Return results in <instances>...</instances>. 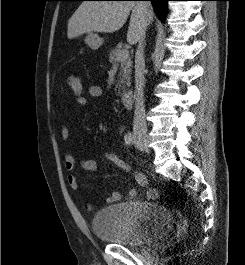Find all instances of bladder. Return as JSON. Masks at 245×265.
<instances>
[{
    "label": "bladder",
    "mask_w": 245,
    "mask_h": 265,
    "mask_svg": "<svg viewBox=\"0 0 245 265\" xmlns=\"http://www.w3.org/2000/svg\"><path fill=\"white\" fill-rule=\"evenodd\" d=\"M168 211L148 201L118 202L98 210L91 227L111 244L137 247L163 237L169 228Z\"/></svg>",
    "instance_id": "31cf9c89"
}]
</instances>
